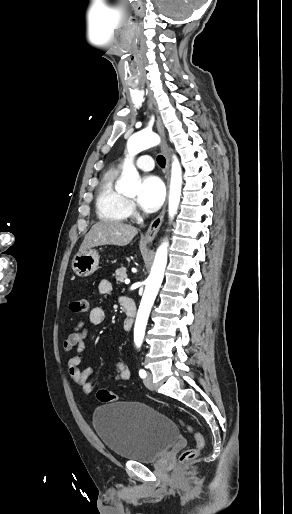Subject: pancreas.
<instances>
[{"instance_id": "cf45deb5", "label": "pancreas", "mask_w": 292, "mask_h": 514, "mask_svg": "<svg viewBox=\"0 0 292 514\" xmlns=\"http://www.w3.org/2000/svg\"><path fill=\"white\" fill-rule=\"evenodd\" d=\"M126 272V268H119V270H116L114 274V276H116V284H119V282H124V280H127Z\"/></svg>"}]
</instances>
